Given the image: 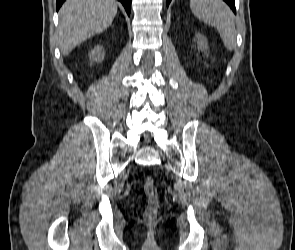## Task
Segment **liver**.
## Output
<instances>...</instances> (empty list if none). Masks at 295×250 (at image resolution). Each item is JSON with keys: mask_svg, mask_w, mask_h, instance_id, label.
<instances>
[{"mask_svg": "<svg viewBox=\"0 0 295 250\" xmlns=\"http://www.w3.org/2000/svg\"><path fill=\"white\" fill-rule=\"evenodd\" d=\"M117 14L115 0H67L60 9L59 46L63 55L106 30Z\"/></svg>", "mask_w": 295, "mask_h": 250, "instance_id": "6515ba94", "label": "liver"}]
</instances>
